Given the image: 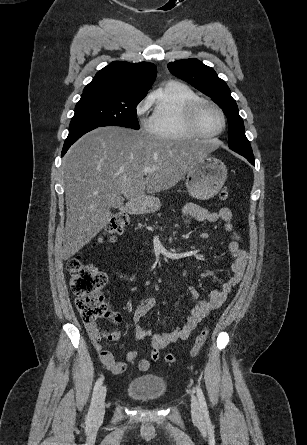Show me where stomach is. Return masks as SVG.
<instances>
[{"instance_id": "0dacf381", "label": "stomach", "mask_w": 307, "mask_h": 445, "mask_svg": "<svg viewBox=\"0 0 307 445\" xmlns=\"http://www.w3.org/2000/svg\"><path fill=\"white\" fill-rule=\"evenodd\" d=\"M226 178V164L215 156L205 154L189 168L186 176L187 190L191 196L198 198V200H208L219 192ZM146 206L150 210H159L161 206L160 198L151 196L147 200Z\"/></svg>"}]
</instances>
